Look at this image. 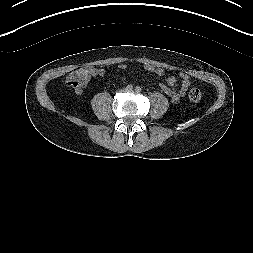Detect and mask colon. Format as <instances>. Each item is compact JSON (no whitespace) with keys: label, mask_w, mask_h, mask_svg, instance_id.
<instances>
[{"label":"colon","mask_w":253,"mask_h":253,"mask_svg":"<svg viewBox=\"0 0 253 253\" xmlns=\"http://www.w3.org/2000/svg\"><path fill=\"white\" fill-rule=\"evenodd\" d=\"M93 69L89 67H84L73 72L66 81V85L75 91L83 90L85 88L88 80L91 78ZM189 99L192 102H198L202 93L201 90L197 87L192 88L188 94Z\"/></svg>","instance_id":"1"}]
</instances>
